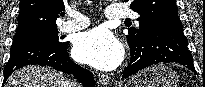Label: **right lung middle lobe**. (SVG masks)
Instances as JSON below:
<instances>
[{
    "label": "right lung middle lobe",
    "mask_w": 205,
    "mask_h": 87,
    "mask_svg": "<svg viewBox=\"0 0 205 87\" xmlns=\"http://www.w3.org/2000/svg\"><path fill=\"white\" fill-rule=\"evenodd\" d=\"M25 40H40L53 45H60L63 43L59 40L57 28L20 32L16 33L14 36V42Z\"/></svg>",
    "instance_id": "1"
}]
</instances>
